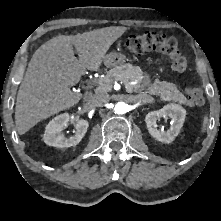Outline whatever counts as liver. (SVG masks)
Segmentation results:
<instances>
[{"label": "liver", "mask_w": 221, "mask_h": 221, "mask_svg": "<svg viewBox=\"0 0 221 221\" xmlns=\"http://www.w3.org/2000/svg\"><path fill=\"white\" fill-rule=\"evenodd\" d=\"M124 27L59 35L36 50L18 90L15 124L20 135L38 122L76 105L83 95L71 91L86 69L97 71ZM73 46L79 59L74 56Z\"/></svg>", "instance_id": "liver-1"}]
</instances>
